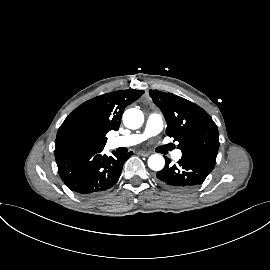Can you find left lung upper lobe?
I'll return each instance as SVG.
<instances>
[{
    "instance_id": "left-lung-upper-lobe-1",
    "label": "left lung upper lobe",
    "mask_w": 270,
    "mask_h": 270,
    "mask_svg": "<svg viewBox=\"0 0 270 270\" xmlns=\"http://www.w3.org/2000/svg\"><path fill=\"white\" fill-rule=\"evenodd\" d=\"M167 122L166 134L178 141L182 156L215 166L219 149L218 128L201 107L172 93L149 90Z\"/></svg>"
}]
</instances>
